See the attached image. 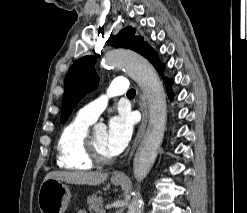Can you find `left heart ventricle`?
<instances>
[{
  "label": "left heart ventricle",
  "instance_id": "1",
  "mask_svg": "<svg viewBox=\"0 0 247 213\" xmlns=\"http://www.w3.org/2000/svg\"><path fill=\"white\" fill-rule=\"evenodd\" d=\"M92 136L98 153L103 157H112L106 148V132H95L92 134Z\"/></svg>",
  "mask_w": 247,
  "mask_h": 213
}]
</instances>
